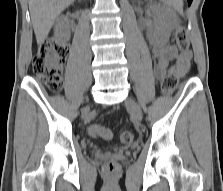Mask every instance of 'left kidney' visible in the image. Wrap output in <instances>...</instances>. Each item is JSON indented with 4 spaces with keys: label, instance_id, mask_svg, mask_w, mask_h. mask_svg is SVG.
I'll list each match as a JSON object with an SVG mask.
<instances>
[{
    "label": "left kidney",
    "instance_id": "obj_1",
    "mask_svg": "<svg viewBox=\"0 0 223 191\" xmlns=\"http://www.w3.org/2000/svg\"><path fill=\"white\" fill-rule=\"evenodd\" d=\"M152 9L155 13V22L149 29V36L157 40H165L170 37L177 19L170 10L160 5L153 4Z\"/></svg>",
    "mask_w": 223,
    "mask_h": 191
}]
</instances>
